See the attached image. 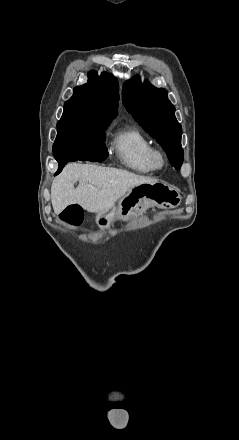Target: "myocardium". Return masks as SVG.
Here are the masks:
<instances>
[{
	"label": "myocardium",
	"instance_id": "1",
	"mask_svg": "<svg viewBox=\"0 0 239 440\" xmlns=\"http://www.w3.org/2000/svg\"><path fill=\"white\" fill-rule=\"evenodd\" d=\"M152 163L156 169H162L166 165V156L165 153L160 150L154 148L151 154Z\"/></svg>",
	"mask_w": 239,
	"mask_h": 440
}]
</instances>
